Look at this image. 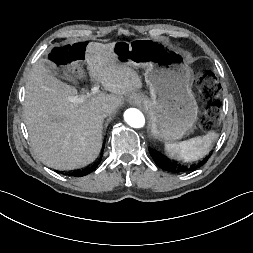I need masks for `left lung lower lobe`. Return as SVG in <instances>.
I'll list each match as a JSON object with an SVG mask.
<instances>
[{
    "label": "left lung lower lobe",
    "instance_id": "0a47b994",
    "mask_svg": "<svg viewBox=\"0 0 253 253\" xmlns=\"http://www.w3.org/2000/svg\"><path fill=\"white\" fill-rule=\"evenodd\" d=\"M151 156L153 157V160L160 168H162L166 171H169V172H173V173H180V172H184V171L195 170L204 164V162H201L200 164H198L195 167H192L190 169H186V168L176 165L175 163L170 162L168 159L163 158L154 152L151 153Z\"/></svg>",
    "mask_w": 253,
    "mask_h": 253
}]
</instances>
